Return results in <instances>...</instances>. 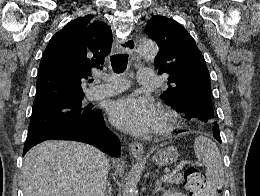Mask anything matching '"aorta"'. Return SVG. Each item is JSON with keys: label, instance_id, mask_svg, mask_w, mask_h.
Masks as SVG:
<instances>
[{"label": "aorta", "instance_id": "aorta-1", "mask_svg": "<svg viewBox=\"0 0 260 196\" xmlns=\"http://www.w3.org/2000/svg\"><path fill=\"white\" fill-rule=\"evenodd\" d=\"M138 52L145 58H153L158 53V46L151 40L144 41L138 46ZM124 196H136V190L133 185L128 184L125 188Z\"/></svg>", "mask_w": 260, "mask_h": 196}]
</instances>
